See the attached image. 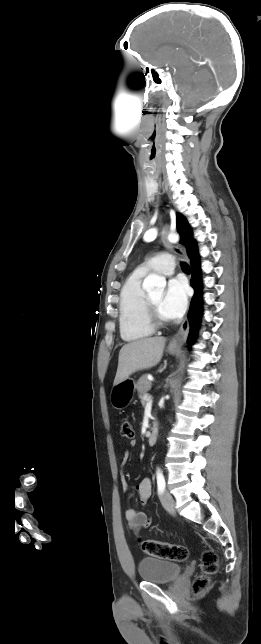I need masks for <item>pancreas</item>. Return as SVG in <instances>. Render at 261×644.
<instances>
[{
    "instance_id": "1",
    "label": "pancreas",
    "mask_w": 261,
    "mask_h": 644,
    "mask_svg": "<svg viewBox=\"0 0 261 644\" xmlns=\"http://www.w3.org/2000/svg\"><path fill=\"white\" fill-rule=\"evenodd\" d=\"M136 389L138 391L139 398L144 402L143 397L151 389V382L147 379L146 375H143L136 384Z\"/></svg>"
}]
</instances>
